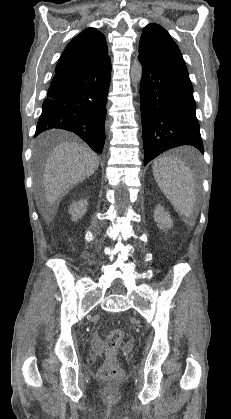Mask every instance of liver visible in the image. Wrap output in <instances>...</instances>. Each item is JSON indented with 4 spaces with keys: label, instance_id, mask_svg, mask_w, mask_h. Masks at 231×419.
Instances as JSON below:
<instances>
[{
    "label": "liver",
    "instance_id": "6515ba94",
    "mask_svg": "<svg viewBox=\"0 0 231 419\" xmlns=\"http://www.w3.org/2000/svg\"><path fill=\"white\" fill-rule=\"evenodd\" d=\"M47 135L39 138L45 142ZM99 166L97 155L88 147L64 142L56 146L47 158L43 174L44 203L40 213L51 221L56 213L54 205L59 198L79 182L91 176Z\"/></svg>",
    "mask_w": 231,
    "mask_h": 419
}]
</instances>
